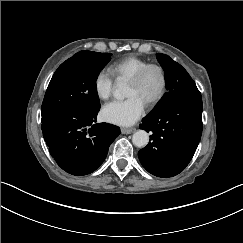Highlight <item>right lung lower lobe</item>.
<instances>
[{
	"label": "right lung lower lobe",
	"mask_w": 243,
	"mask_h": 243,
	"mask_svg": "<svg viewBox=\"0 0 243 243\" xmlns=\"http://www.w3.org/2000/svg\"><path fill=\"white\" fill-rule=\"evenodd\" d=\"M98 111L64 108L42 116L43 137L57 164L72 175L95 171L120 134L117 126L96 122ZM93 124V125H92ZM91 127L87 129L88 127Z\"/></svg>",
	"instance_id": "1"
}]
</instances>
